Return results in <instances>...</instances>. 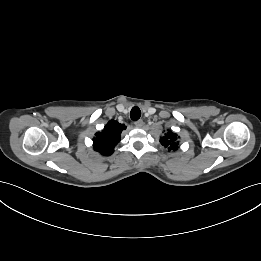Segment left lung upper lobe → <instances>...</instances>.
Segmentation results:
<instances>
[{
	"label": "left lung upper lobe",
	"instance_id": "obj_1",
	"mask_svg": "<svg viewBox=\"0 0 261 261\" xmlns=\"http://www.w3.org/2000/svg\"><path fill=\"white\" fill-rule=\"evenodd\" d=\"M160 143L165 148H168L169 151L177 150L178 148L177 135L171 131H168L164 136L160 138Z\"/></svg>",
	"mask_w": 261,
	"mask_h": 261
}]
</instances>
